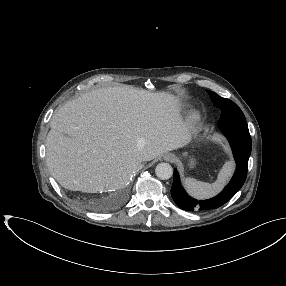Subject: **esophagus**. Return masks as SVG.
I'll return each mask as SVG.
<instances>
[{"instance_id": "1", "label": "esophagus", "mask_w": 286, "mask_h": 286, "mask_svg": "<svg viewBox=\"0 0 286 286\" xmlns=\"http://www.w3.org/2000/svg\"><path fill=\"white\" fill-rule=\"evenodd\" d=\"M164 160L174 162L176 160V155L173 153H168L164 156Z\"/></svg>"}]
</instances>
